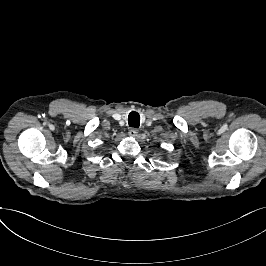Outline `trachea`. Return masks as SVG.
Instances as JSON below:
<instances>
[{
  "instance_id": "trachea-1",
  "label": "trachea",
  "mask_w": 266,
  "mask_h": 266,
  "mask_svg": "<svg viewBox=\"0 0 266 266\" xmlns=\"http://www.w3.org/2000/svg\"><path fill=\"white\" fill-rule=\"evenodd\" d=\"M129 126L138 128L140 124V116L137 112H131L128 116Z\"/></svg>"
}]
</instances>
